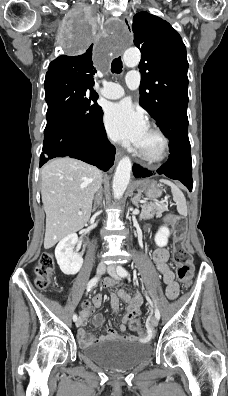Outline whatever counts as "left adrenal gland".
Here are the masks:
<instances>
[{
  "label": "left adrenal gland",
  "mask_w": 228,
  "mask_h": 396,
  "mask_svg": "<svg viewBox=\"0 0 228 396\" xmlns=\"http://www.w3.org/2000/svg\"><path fill=\"white\" fill-rule=\"evenodd\" d=\"M140 198H141V191H139L138 192V194L133 198V200H132V203L135 205V206H139V200H140Z\"/></svg>",
  "instance_id": "a2214340"
}]
</instances>
